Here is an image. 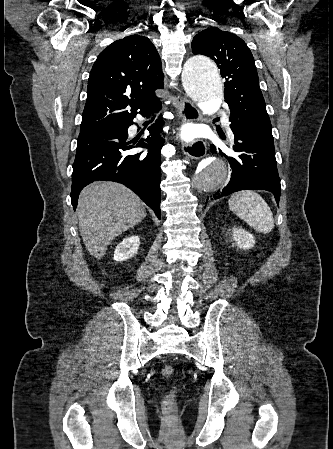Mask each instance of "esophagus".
Listing matches in <instances>:
<instances>
[{"instance_id": "esophagus-1", "label": "esophagus", "mask_w": 333, "mask_h": 449, "mask_svg": "<svg viewBox=\"0 0 333 449\" xmlns=\"http://www.w3.org/2000/svg\"><path fill=\"white\" fill-rule=\"evenodd\" d=\"M179 113L183 123L198 122L201 119L199 110L186 98H181L180 100ZM182 152L192 159H200L206 154V146L201 140H195L191 143L183 144Z\"/></svg>"}]
</instances>
